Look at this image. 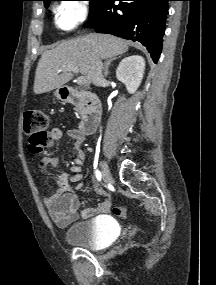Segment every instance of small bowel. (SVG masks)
<instances>
[{
	"label": "small bowel",
	"instance_id": "c3829d8e",
	"mask_svg": "<svg viewBox=\"0 0 216 285\" xmlns=\"http://www.w3.org/2000/svg\"><path fill=\"white\" fill-rule=\"evenodd\" d=\"M63 135L64 133L60 128L52 129L48 134L49 140L46 147L53 146ZM67 135L73 140L75 149L74 174L68 176L59 170L57 160L52 157L44 158L38 165V169L41 173H46L48 166H52L58 172L57 190L53 194L46 196L43 202L52 221L62 228L67 227L75 221L78 216L87 219L97 214L107 212L111 206L110 199L106 197L96 207L86 208L79 213L80 203L78 196L73 190L72 183L82 179V175L79 171L86 157L85 151L81 148L85 142V133L77 128H72L67 131Z\"/></svg>",
	"mask_w": 216,
	"mask_h": 285
}]
</instances>
